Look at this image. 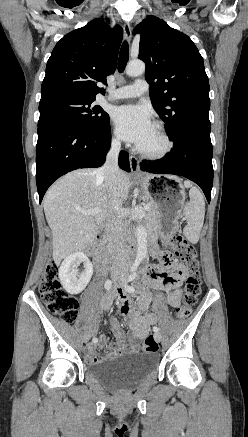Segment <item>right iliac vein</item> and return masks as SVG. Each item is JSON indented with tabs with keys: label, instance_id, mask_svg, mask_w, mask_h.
I'll return each mask as SVG.
<instances>
[{
	"label": "right iliac vein",
	"instance_id": "63e3f726",
	"mask_svg": "<svg viewBox=\"0 0 248 437\" xmlns=\"http://www.w3.org/2000/svg\"><path fill=\"white\" fill-rule=\"evenodd\" d=\"M115 278H116V277H114V279H115ZM89 340H90V335H89V334H85L84 337H83V341H84L85 343H87Z\"/></svg>",
	"mask_w": 248,
	"mask_h": 437
}]
</instances>
